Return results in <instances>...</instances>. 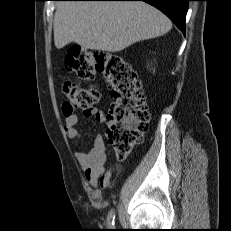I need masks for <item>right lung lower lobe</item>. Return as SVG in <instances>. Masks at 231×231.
Here are the masks:
<instances>
[{
    "label": "right lung lower lobe",
    "mask_w": 231,
    "mask_h": 231,
    "mask_svg": "<svg viewBox=\"0 0 231 231\" xmlns=\"http://www.w3.org/2000/svg\"><path fill=\"white\" fill-rule=\"evenodd\" d=\"M87 1H144L167 15L185 33V16L190 0H87Z\"/></svg>",
    "instance_id": "obj_1"
}]
</instances>
